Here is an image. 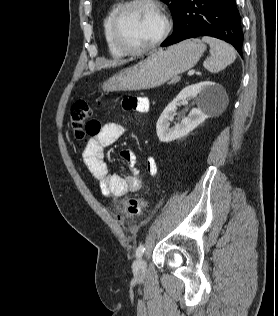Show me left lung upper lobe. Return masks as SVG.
<instances>
[{
    "label": "left lung upper lobe",
    "mask_w": 278,
    "mask_h": 316,
    "mask_svg": "<svg viewBox=\"0 0 278 316\" xmlns=\"http://www.w3.org/2000/svg\"><path fill=\"white\" fill-rule=\"evenodd\" d=\"M161 1H163L165 4L169 6L170 11L173 16V20L174 22H176L180 14V10L182 8V4L184 0H161Z\"/></svg>",
    "instance_id": "left-lung-upper-lobe-1"
}]
</instances>
